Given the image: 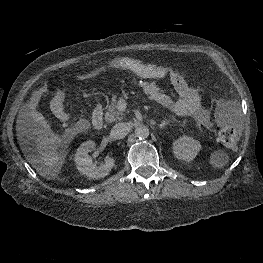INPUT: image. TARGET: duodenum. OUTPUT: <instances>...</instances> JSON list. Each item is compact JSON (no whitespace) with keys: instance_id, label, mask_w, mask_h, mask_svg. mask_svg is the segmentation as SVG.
I'll use <instances>...</instances> for the list:
<instances>
[{"instance_id":"1","label":"duodenum","mask_w":263,"mask_h":263,"mask_svg":"<svg viewBox=\"0 0 263 263\" xmlns=\"http://www.w3.org/2000/svg\"><path fill=\"white\" fill-rule=\"evenodd\" d=\"M103 110L100 104H97L92 112V126L96 130H100L103 127Z\"/></svg>"}]
</instances>
